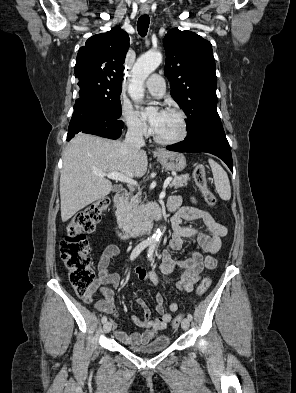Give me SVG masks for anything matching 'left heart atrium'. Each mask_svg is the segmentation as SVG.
<instances>
[{
	"label": "left heart atrium",
	"mask_w": 296,
	"mask_h": 393,
	"mask_svg": "<svg viewBox=\"0 0 296 393\" xmlns=\"http://www.w3.org/2000/svg\"><path fill=\"white\" fill-rule=\"evenodd\" d=\"M165 113H166V111L160 110V111L157 113L155 119L152 120V125H153L154 129L158 126V124H159L161 118L164 116Z\"/></svg>",
	"instance_id": "1"
}]
</instances>
